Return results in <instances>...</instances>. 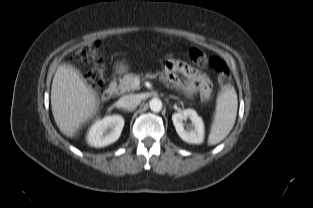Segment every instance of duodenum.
<instances>
[{"instance_id": "duodenum-1", "label": "duodenum", "mask_w": 313, "mask_h": 208, "mask_svg": "<svg viewBox=\"0 0 313 208\" xmlns=\"http://www.w3.org/2000/svg\"><path fill=\"white\" fill-rule=\"evenodd\" d=\"M116 83L115 82H111L107 87H106V89H105V91H104V95H105V97H107V98H110L113 94H114V92H115V90H116Z\"/></svg>"}]
</instances>
